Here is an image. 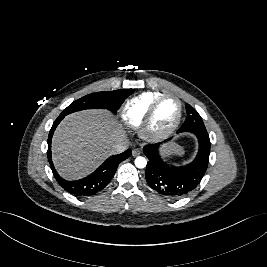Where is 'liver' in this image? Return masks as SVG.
Listing matches in <instances>:
<instances>
[{"label":"liver","instance_id":"6515ba94","mask_svg":"<svg viewBox=\"0 0 267 267\" xmlns=\"http://www.w3.org/2000/svg\"><path fill=\"white\" fill-rule=\"evenodd\" d=\"M121 140L126 137L110 112L85 110L73 113L63 119L54 133L53 162L61 176L78 179L114 154L113 145Z\"/></svg>","mask_w":267,"mask_h":267}]
</instances>
